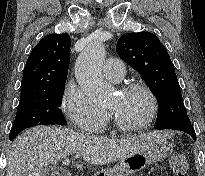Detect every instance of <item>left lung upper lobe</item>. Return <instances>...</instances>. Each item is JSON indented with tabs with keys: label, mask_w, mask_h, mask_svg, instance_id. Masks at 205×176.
I'll list each match as a JSON object with an SVG mask.
<instances>
[{
	"label": "left lung upper lobe",
	"mask_w": 205,
	"mask_h": 176,
	"mask_svg": "<svg viewBox=\"0 0 205 176\" xmlns=\"http://www.w3.org/2000/svg\"><path fill=\"white\" fill-rule=\"evenodd\" d=\"M118 55L138 71L159 100L156 129L190 125L175 69L165 46L150 32L127 33L117 43Z\"/></svg>",
	"instance_id": "1"
}]
</instances>
